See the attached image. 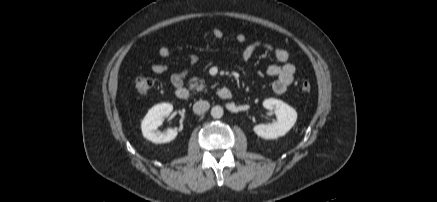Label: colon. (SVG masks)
<instances>
[{"instance_id":"obj_1","label":"colon","mask_w":437,"mask_h":202,"mask_svg":"<svg viewBox=\"0 0 437 202\" xmlns=\"http://www.w3.org/2000/svg\"><path fill=\"white\" fill-rule=\"evenodd\" d=\"M134 88L139 94H146L153 86V80L149 77H136L134 79ZM311 83L307 80H304L300 84V89L304 93H309L311 91Z\"/></svg>"}]
</instances>
